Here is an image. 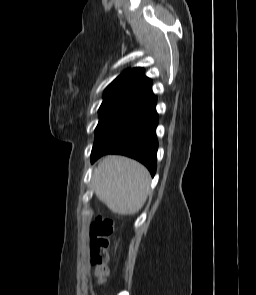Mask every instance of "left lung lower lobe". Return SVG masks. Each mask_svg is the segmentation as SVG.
<instances>
[{
	"mask_svg": "<svg viewBox=\"0 0 256 295\" xmlns=\"http://www.w3.org/2000/svg\"><path fill=\"white\" fill-rule=\"evenodd\" d=\"M155 106L156 98L95 142L91 162L106 154H121L140 161L154 176L158 149V114Z\"/></svg>",
	"mask_w": 256,
	"mask_h": 295,
	"instance_id": "left-lung-lower-lobe-1",
	"label": "left lung lower lobe"
}]
</instances>
